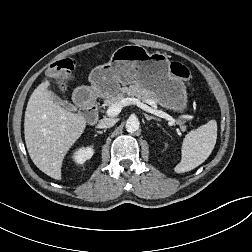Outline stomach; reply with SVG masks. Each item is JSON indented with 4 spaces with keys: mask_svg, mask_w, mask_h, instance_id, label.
<instances>
[{
    "mask_svg": "<svg viewBox=\"0 0 252 252\" xmlns=\"http://www.w3.org/2000/svg\"><path fill=\"white\" fill-rule=\"evenodd\" d=\"M170 61L160 52L149 53L140 45H124L116 49L110 61L95 67L90 75L91 86L75 90L108 98L118 94L120 85L136 84L154 93L158 104L175 112L187 108L184 82L171 75Z\"/></svg>",
    "mask_w": 252,
    "mask_h": 252,
    "instance_id": "1",
    "label": "stomach"
}]
</instances>
